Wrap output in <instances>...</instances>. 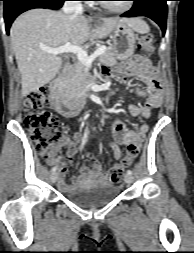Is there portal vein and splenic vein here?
I'll return each instance as SVG.
<instances>
[{"mask_svg":"<svg viewBox=\"0 0 194 253\" xmlns=\"http://www.w3.org/2000/svg\"><path fill=\"white\" fill-rule=\"evenodd\" d=\"M42 51L46 53H50L53 55H59L62 53H73L76 54L79 61H81L87 67H90L92 62L101 54L106 51V46H101L94 51L93 54L88 56L87 52L83 50L81 47L71 44L70 42L65 43L64 45L57 47V48H50V47H41Z\"/></svg>","mask_w":194,"mask_h":253,"instance_id":"1","label":"portal vein and splenic vein"}]
</instances>
